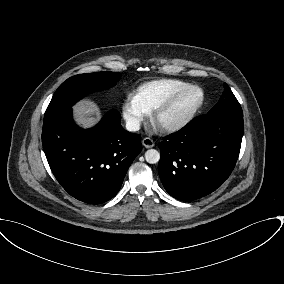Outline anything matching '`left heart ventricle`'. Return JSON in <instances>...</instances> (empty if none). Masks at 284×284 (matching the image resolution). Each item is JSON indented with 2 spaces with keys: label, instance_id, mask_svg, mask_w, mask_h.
I'll use <instances>...</instances> for the list:
<instances>
[{
  "label": "left heart ventricle",
  "instance_id": "b2bd125f",
  "mask_svg": "<svg viewBox=\"0 0 284 284\" xmlns=\"http://www.w3.org/2000/svg\"><path fill=\"white\" fill-rule=\"evenodd\" d=\"M200 97L201 94L198 90L189 91L178 101L166 118L171 119L186 114L199 102Z\"/></svg>",
  "mask_w": 284,
  "mask_h": 284
}]
</instances>
